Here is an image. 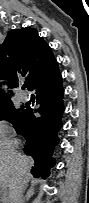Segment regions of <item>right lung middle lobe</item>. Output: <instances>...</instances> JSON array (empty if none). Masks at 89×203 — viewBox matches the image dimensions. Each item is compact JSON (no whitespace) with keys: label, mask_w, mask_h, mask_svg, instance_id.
<instances>
[{"label":"right lung middle lobe","mask_w":89,"mask_h":203,"mask_svg":"<svg viewBox=\"0 0 89 203\" xmlns=\"http://www.w3.org/2000/svg\"><path fill=\"white\" fill-rule=\"evenodd\" d=\"M25 108L16 109L12 102L4 104L0 107V120H8L16 127L25 113Z\"/></svg>","instance_id":"obj_1"}]
</instances>
